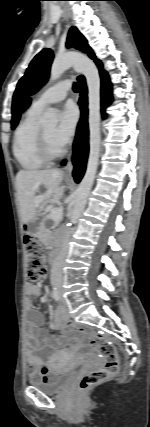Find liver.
<instances>
[{
	"mask_svg": "<svg viewBox=\"0 0 150 427\" xmlns=\"http://www.w3.org/2000/svg\"><path fill=\"white\" fill-rule=\"evenodd\" d=\"M63 173L59 170H21L16 176V186L21 220L28 223L37 218L40 209L46 205L57 204L63 196L65 186L61 185ZM43 185L47 189L42 205L35 202V194Z\"/></svg>",
	"mask_w": 150,
	"mask_h": 427,
	"instance_id": "obj_1",
	"label": "liver"
}]
</instances>
